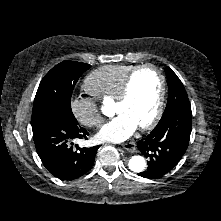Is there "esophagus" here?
I'll use <instances>...</instances> for the list:
<instances>
[{
    "mask_svg": "<svg viewBox=\"0 0 221 221\" xmlns=\"http://www.w3.org/2000/svg\"><path fill=\"white\" fill-rule=\"evenodd\" d=\"M123 148L129 152H135L136 151V144L135 142H128V143H124Z\"/></svg>",
    "mask_w": 221,
    "mask_h": 221,
    "instance_id": "obj_1",
    "label": "esophagus"
}]
</instances>
